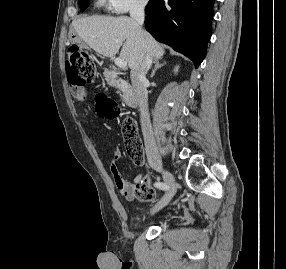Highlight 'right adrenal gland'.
Returning <instances> with one entry per match:
<instances>
[{"label": "right adrenal gland", "instance_id": "2a0ac1e0", "mask_svg": "<svg viewBox=\"0 0 286 269\" xmlns=\"http://www.w3.org/2000/svg\"><path fill=\"white\" fill-rule=\"evenodd\" d=\"M154 63H155V65H154V69H153V71H152V73H151V77H153V76L155 75L156 71H157L159 68H161V67L165 64V63L160 64V63H159V59H155V60H154Z\"/></svg>", "mask_w": 286, "mask_h": 269}]
</instances>
